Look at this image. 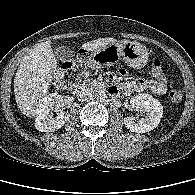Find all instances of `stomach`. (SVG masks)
Instances as JSON below:
<instances>
[{"label":"stomach","mask_w":195,"mask_h":195,"mask_svg":"<svg viewBox=\"0 0 195 195\" xmlns=\"http://www.w3.org/2000/svg\"><path fill=\"white\" fill-rule=\"evenodd\" d=\"M121 59L129 66L139 69L146 65L148 51L140 43L124 40L93 51L89 57L93 68L110 67L116 65Z\"/></svg>","instance_id":"1"}]
</instances>
